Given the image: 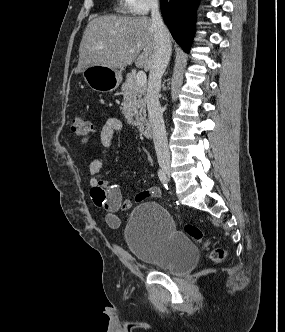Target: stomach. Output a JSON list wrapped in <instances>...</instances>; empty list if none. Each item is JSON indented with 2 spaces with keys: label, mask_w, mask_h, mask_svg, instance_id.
Returning a JSON list of instances; mask_svg holds the SVG:
<instances>
[{
  "label": "stomach",
  "mask_w": 285,
  "mask_h": 332,
  "mask_svg": "<svg viewBox=\"0 0 285 332\" xmlns=\"http://www.w3.org/2000/svg\"><path fill=\"white\" fill-rule=\"evenodd\" d=\"M87 85L97 92H112L119 86L122 75L117 69L94 65L83 71Z\"/></svg>",
  "instance_id": "0dacf381"
}]
</instances>
